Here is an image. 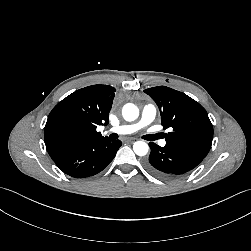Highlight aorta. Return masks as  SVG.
<instances>
[{
    "mask_svg": "<svg viewBox=\"0 0 251 251\" xmlns=\"http://www.w3.org/2000/svg\"><path fill=\"white\" fill-rule=\"evenodd\" d=\"M122 116L128 122L135 121L139 116V109L132 103L125 104L122 109ZM133 150L136 155L145 156L148 153L149 146L144 141H136Z\"/></svg>",
    "mask_w": 251,
    "mask_h": 251,
    "instance_id": "1",
    "label": "aorta"
}]
</instances>
